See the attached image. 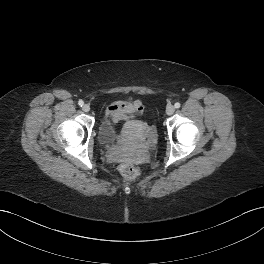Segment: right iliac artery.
Listing matches in <instances>:
<instances>
[{"mask_svg":"<svg viewBox=\"0 0 264 264\" xmlns=\"http://www.w3.org/2000/svg\"><path fill=\"white\" fill-rule=\"evenodd\" d=\"M78 104H79V106L82 107V106L84 105V102H83L82 100H79V101H78Z\"/></svg>","mask_w":264,"mask_h":264,"instance_id":"right-iliac-artery-1","label":"right iliac artery"}]
</instances>
